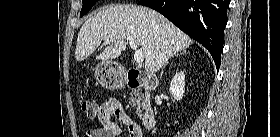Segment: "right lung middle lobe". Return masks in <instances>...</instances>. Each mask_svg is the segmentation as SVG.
<instances>
[{"label":"right lung middle lobe","mask_w":280,"mask_h":137,"mask_svg":"<svg viewBox=\"0 0 280 137\" xmlns=\"http://www.w3.org/2000/svg\"><path fill=\"white\" fill-rule=\"evenodd\" d=\"M98 0H83V6L81 9L80 16L82 17L86 13L89 12V10L92 8V6L97 2Z\"/></svg>","instance_id":"1"}]
</instances>
